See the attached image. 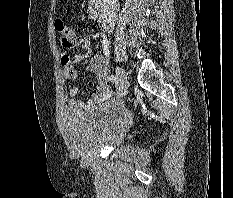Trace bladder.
I'll list each match as a JSON object with an SVG mask.
<instances>
[{
  "instance_id": "31cf9c89",
  "label": "bladder",
  "mask_w": 233,
  "mask_h": 198,
  "mask_svg": "<svg viewBox=\"0 0 233 198\" xmlns=\"http://www.w3.org/2000/svg\"><path fill=\"white\" fill-rule=\"evenodd\" d=\"M132 122V115L121 103H108L90 112L68 110L62 120L67 143L85 154L100 147L120 144Z\"/></svg>"
}]
</instances>
